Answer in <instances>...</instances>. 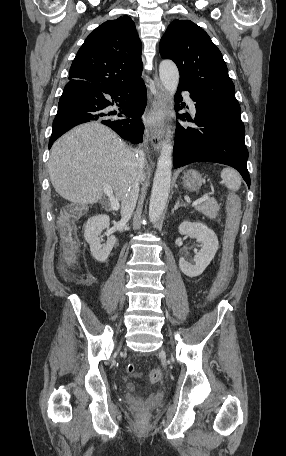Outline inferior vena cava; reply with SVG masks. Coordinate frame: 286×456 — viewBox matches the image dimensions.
Segmentation results:
<instances>
[{
	"label": "inferior vena cava",
	"mask_w": 286,
	"mask_h": 456,
	"mask_svg": "<svg viewBox=\"0 0 286 456\" xmlns=\"http://www.w3.org/2000/svg\"><path fill=\"white\" fill-rule=\"evenodd\" d=\"M138 157L136 158V176L133 178L131 186L124 195L121 204V216L123 221H128L136 207V202L139 194V181L141 177V169L144 163V154L142 151H137Z\"/></svg>",
	"instance_id": "inferior-vena-cava-1"
}]
</instances>
